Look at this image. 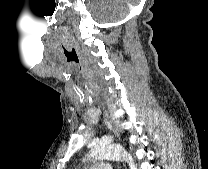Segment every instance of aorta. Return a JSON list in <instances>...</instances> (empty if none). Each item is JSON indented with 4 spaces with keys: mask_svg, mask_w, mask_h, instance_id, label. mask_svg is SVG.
Listing matches in <instances>:
<instances>
[{
    "mask_svg": "<svg viewBox=\"0 0 208 169\" xmlns=\"http://www.w3.org/2000/svg\"><path fill=\"white\" fill-rule=\"evenodd\" d=\"M88 157L92 161L123 159L129 162L130 169H137L131 156L122 147L112 143L100 142L89 151Z\"/></svg>",
    "mask_w": 208,
    "mask_h": 169,
    "instance_id": "aorta-1",
    "label": "aorta"
}]
</instances>
